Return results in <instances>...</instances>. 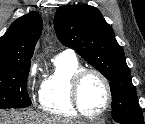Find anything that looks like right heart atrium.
I'll use <instances>...</instances> for the list:
<instances>
[{"label":"right heart atrium","mask_w":145,"mask_h":124,"mask_svg":"<svg viewBox=\"0 0 145 124\" xmlns=\"http://www.w3.org/2000/svg\"><path fill=\"white\" fill-rule=\"evenodd\" d=\"M34 73H35V67H33V68L31 69V75H34Z\"/></svg>","instance_id":"obj_1"}]
</instances>
